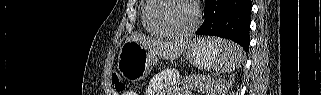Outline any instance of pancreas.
I'll return each mask as SVG.
<instances>
[{
	"label": "pancreas",
	"instance_id": "obj_1",
	"mask_svg": "<svg viewBox=\"0 0 321 95\" xmlns=\"http://www.w3.org/2000/svg\"><path fill=\"white\" fill-rule=\"evenodd\" d=\"M181 86L184 89L197 90L204 95H209L210 93L211 95H214L219 88L218 82L206 75H192L186 77V79H183L181 82Z\"/></svg>",
	"mask_w": 321,
	"mask_h": 95
}]
</instances>
